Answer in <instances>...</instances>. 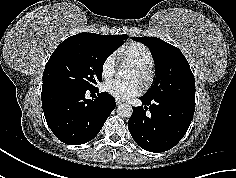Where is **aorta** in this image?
I'll use <instances>...</instances> for the list:
<instances>
[{
	"instance_id": "762f6f07",
	"label": "aorta",
	"mask_w": 236,
	"mask_h": 178,
	"mask_svg": "<svg viewBox=\"0 0 236 178\" xmlns=\"http://www.w3.org/2000/svg\"><path fill=\"white\" fill-rule=\"evenodd\" d=\"M125 75V71L124 70H120L118 73H117V76L120 78V77H123ZM133 113V109H132V106L129 105V104H126V103H123V104H120L117 108V114L120 116V117H123V118H129Z\"/></svg>"
}]
</instances>
